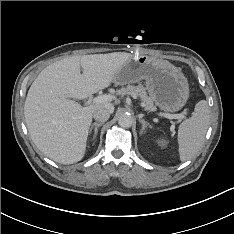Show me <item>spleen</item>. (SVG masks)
Masks as SVG:
<instances>
[{
    "mask_svg": "<svg viewBox=\"0 0 234 234\" xmlns=\"http://www.w3.org/2000/svg\"><path fill=\"white\" fill-rule=\"evenodd\" d=\"M210 125V109L205 100L199 101L191 118L178 128L179 157L181 161L192 159L201 148Z\"/></svg>",
    "mask_w": 234,
    "mask_h": 234,
    "instance_id": "3e777b00",
    "label": "spleen"
}]
</instances>
